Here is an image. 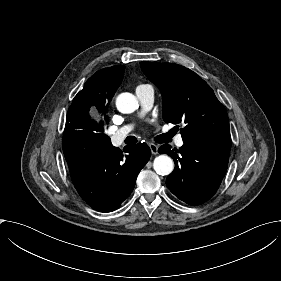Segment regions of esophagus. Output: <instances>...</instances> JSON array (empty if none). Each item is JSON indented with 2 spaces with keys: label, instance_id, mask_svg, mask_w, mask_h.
Masks as SVG:
<instances>
[{
  "label": "esophagus",
  "instance_id": "34e87169",
  "mask_svg": "<svg viewBox=\"0 0 281 281\" xmlns=\"http://www.w3.org/2000/svg\"><path fill=\"white\" fill-rule=\"evenodd\" d=\"M149 147H150V150H151L152 154H157L158 153L157 145H155L153 143H149Z\"/></svg>",
  "mask_w": 281,
  "mask_h": 281
}]
</instances>
